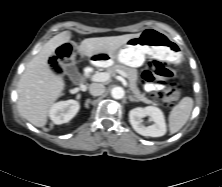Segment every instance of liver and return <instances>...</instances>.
I'll return each instance as SVG.
<instances>
[{
	"instance_id": "6515ba94",
	"label": "liver",
	"mask_w": 222,
	"mask_h": 187,
	"mask_svg": "<svg viewBox=\"0 0 222 187\" xmlns=\"http://www.w3.org/2000/svg\"><path fill=\"white\" fill-rule=\"evenodd\" d=\"M139 35L140 33L86 38L80 46H73L81 56L92 57L100 53L110 55L128 40ZM70 39V31L61 32L51 38L27 64L18 82V110L23 118L36 127H44L47 124L49 110L65 88L63 78L50 69L48 59L57 47L70 42Z\"/></svg>"
}]
</instances>
